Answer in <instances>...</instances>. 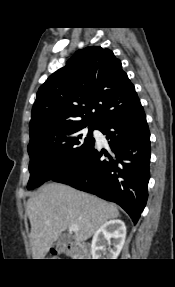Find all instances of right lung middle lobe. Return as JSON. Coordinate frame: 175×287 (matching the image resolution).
<instances>
[{"label": "right lung middle lobe", "instance_id": "dd1d6c3e", "mask_svg": "<svg viewBox=\"0 0 175 287\" xmlns=\"http://www.w3.org/2000/svg\"><path fill=\"white\" fill-rule=\"evenodd\" d=\"M85 127L71 128L28 145L31 174L28 189L71 171L91 153L95 142L92 131L98 126H88L91 135L86 134Z\"/></svg>", "mask_w": 175, "mask_h": 287}]
</instances>
